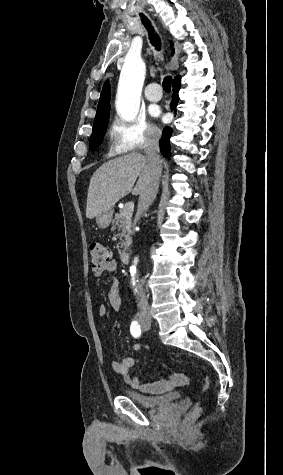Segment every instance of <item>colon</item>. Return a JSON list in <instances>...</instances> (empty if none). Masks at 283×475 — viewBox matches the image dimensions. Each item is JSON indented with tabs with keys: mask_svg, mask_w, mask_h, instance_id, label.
<instances>
[{
	"mask_svg": "<svg viewBox=\"0 0 283 475\" xmlns=\"http://www.w3.org/2000/svg\"><path fill=\"white\" fill-rule=\"evenodd\" d=\"M90 256L92 259L91 267L93 269H100L109 265L110 268H113V263L110 262L112 259V252L110 249L100 244L99 242H94L90 245ZM204 388L208 387V380L203 382ZM199 406L196 407V412L198 411Z\"/></svg>",
	"mask_w": 283,
	"mask_h": 475,
	"instance_id": "obj_1",
	"label": "colon"
}]
</instances>
